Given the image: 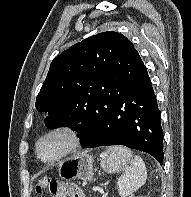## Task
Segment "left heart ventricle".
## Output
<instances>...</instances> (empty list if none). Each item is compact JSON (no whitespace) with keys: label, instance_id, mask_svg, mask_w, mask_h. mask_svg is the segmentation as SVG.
I'll return each mask as SVG.
<instances>
[{"label":"left heart ventricle","instance_id":"b2bd125f","mask_svg":"<svg viewBox=\"0 0 191 197\" xmlns=\"http://www.w3.org/2000/svg\"><path fill=\"white\" fill-rule=\"evenodd\" d=\"M65 148L64 140L59 136H53L44 140L41 144V155L45 159H51L57 156Z\"/></svg>","mask_w":191,"mask_h":197}]
</instances>
